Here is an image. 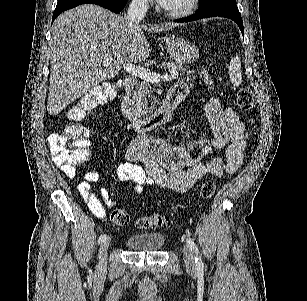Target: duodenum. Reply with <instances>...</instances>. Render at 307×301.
<instances>
[{
  "label": "duodenum",
  "instance_id": "duodenum-1",
  "mask_svg": "<svg viewBox=\"0 0 307 301\" xmlns=\"http://www.w3.org/2000/svg\"><path fill=\"white\" fill-rule=\"evenodd\" d=\"M134 82L131 79L123 81L121 98V113L130 122L136 132H148L170 121L175 110L183 100V96L170 91L160 108L149 117H140L134 110L131 102V93Z\"/></svg>",
  "mask_w": 307,
  "mask_h": 301
}]
</instances>
